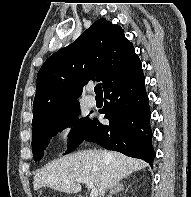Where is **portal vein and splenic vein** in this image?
<instances>
[{
	"label": "portal vein and splenic vein",
	"mask_w": 191,
	"mask_h": 197,
	"mask_svg": "<svg viewBox=\"0 0 191 197\" xmlns=\"http://www.w3.org/2000/svg\"><path fill=\"white\" fill-rule=\"evenodd\" d=\"M76 182L84 183L91 189L90 197H97L98 196V190L94 186L93 182L89 181L88 179H76Z\"/></svg>",
	"instance_id": "18ae733b"
}]
</instances>
